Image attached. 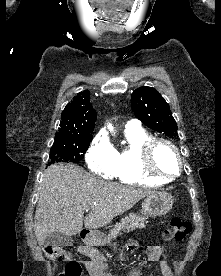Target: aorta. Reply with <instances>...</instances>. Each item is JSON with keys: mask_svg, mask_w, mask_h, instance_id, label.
<instances>
[{"mask_svg": "<svg viewBox=\"0 0 221 276\" xmlns=\"http://www.w3.org/2000/svg\"><path fill=\"white\" fill-rule=\"evenodd\" d=\"M107 127L111 132L113 131V126L111 124H108Z\"/></svg>", "mask_w": 221, "mask_h": 276, "instance_id": "obj_1", "label": "aorta"}]
</instances>
